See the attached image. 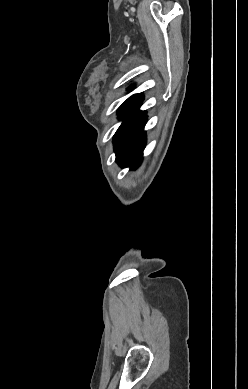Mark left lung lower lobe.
<instances>
[{
	"instance_id": "obj_1",
	"label": "left lung lower lobe",
	"mask_w": 248,
	"mask_h": 389,
	"mask_svg": "<svg viewBox=\"0 0 248 389\" xmlns=\"http://www.w3.org/2000/svg\"><path fill=\"white\" fill-rule=\"evenodd\" d=\"M142 100V94L132 95L117 111L123 123L115 133L113 143L116 161L121 167L134 169L142 160L146 144L143 129L147 121L146 112L139 110Z\"/></svg>"
}]
</instances>
